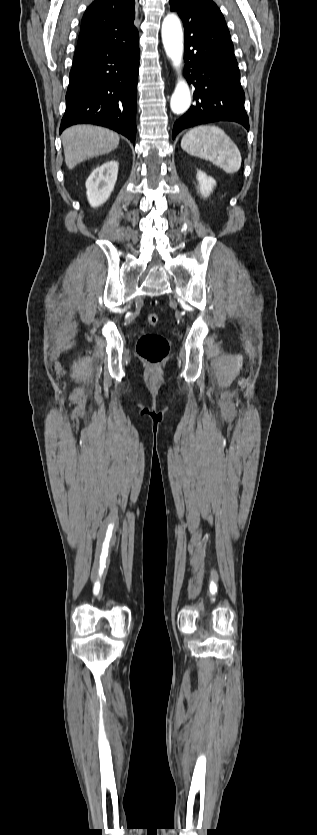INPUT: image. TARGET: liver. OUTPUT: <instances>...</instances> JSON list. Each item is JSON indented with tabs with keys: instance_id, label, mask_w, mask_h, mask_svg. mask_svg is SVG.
Returning <instances> with one entry per match:
<instances>
[{
	"instance_id": "1",
	"label": "liver",
	"mask_w": 317,
	"mask_h": 835,
	"mask_svg": "<svg viewBox=\"0 0 317 835\" xmlns=\"http://www.w3.org/2000/svg\"><path fill=\"white\" fill-rule=\"evenodd\" d=\"M65 163L69 169L95 156L109 153L117 148L119 135L107 128L77 125L62 133Z\"/></svg>"
}]
</instances>
